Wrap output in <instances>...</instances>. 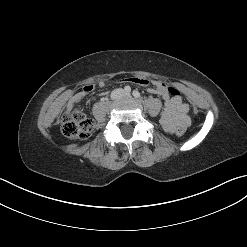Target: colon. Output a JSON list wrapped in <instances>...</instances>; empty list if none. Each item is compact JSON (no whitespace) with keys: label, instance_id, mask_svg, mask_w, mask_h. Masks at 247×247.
Listing matches in <instances>:
<instances>
[{"label":"colon","instance_id":"1","mask_svg":"<svg viewBox=\"0 0 247 247\" xmlns=\"http://www.w3.org/2000/svg\"><path fill=\"white\" fill-rule=\"evenodd\" d=\"M168 93L172 97H179L180 93L173 87L167 88ZM94 123L81 110L66 112L61 120V131L70 139H83L89 136ZM186 131L183 126H178L175 130L178 136H182Z\"/></svg>","mask_w":247,"mask_h":247}]
</instances>
